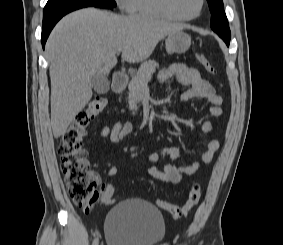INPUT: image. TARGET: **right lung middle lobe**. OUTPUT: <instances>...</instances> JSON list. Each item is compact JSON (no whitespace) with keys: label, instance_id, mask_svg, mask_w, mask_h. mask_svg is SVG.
Segmentation results:
<instances>
[{"label":"right lung middle lobe","instance_id":"dd1d6c3e","mask_svg":"<svg viewBox=\"0 0 283 245\" xmlns=\"http://www.w3.org/2000/svg\"><path fill=\"white\" fill-rule=\"evenodd\" d=\"M88 6L115 7L116 3L114 2V0H48L47 4L44 7L43 19L73 9Z\"/></svg>","mask_w":283,"mask_h":245}]
</instances>
